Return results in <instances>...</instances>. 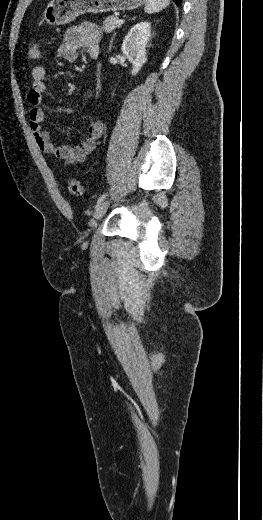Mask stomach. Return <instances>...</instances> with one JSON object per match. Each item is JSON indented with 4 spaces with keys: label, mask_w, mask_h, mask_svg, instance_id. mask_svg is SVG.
Wrapping results in <instances>:
<instances>
[{
    "label": "stomach",
    "mask_w": 263,
    "mask_h": 520,
    "mask_svg": "<svg viewBox=\"0 0 263 520\" xmlns=\"http://www.w3.org/2000/svg\"><path fill=\"white\" fill-rule=\"evenodd\" d=\"M146 0H51L45 8L43 19L53 26L74 21L85 13L132 10L143 5Z\"/></svg>",
    "instance_id": "1"
}]
</instances>
